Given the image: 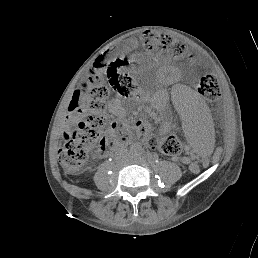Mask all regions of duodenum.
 <instances>
[{
    "label": "duodenum",
    "mask_w": 258,
    "mask_h": 258,
    "mask_svg": "<svg viewBox=\"0 0 258 258\" xmlns=\"http://www.w3.org/2000/svg\"><path fill=\"white\" fill-rule=\"evenodd\" d=\"M123 147H124V145H121L120 143H117L116 144V148H117L116 152L120 151Z\"/></svg>",
    "instance_id": "obj_1"
}]
</instances>
